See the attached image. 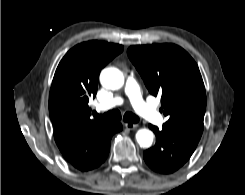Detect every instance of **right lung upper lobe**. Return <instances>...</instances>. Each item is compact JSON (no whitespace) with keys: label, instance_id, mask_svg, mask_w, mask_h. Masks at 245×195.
<instances>
[{"label":"right lung upper lobe","instance_id":"1","mask_svg":"<svg viewBox=\"0 0 245 195\" xmlns=\"http://www.w3.org/2000/svg\"><path fill=\"white\" fill-rule=\"evenodd\" d=\"M123 49L113 43L84 42L69 50L56 69L49 95L54 138L64 158L81 171L94 167L97 139L111 124L90 118L89 97L97 93L100 70Z\"/></svg>","mask_w":245,"mask_h":195}]
</instances>
